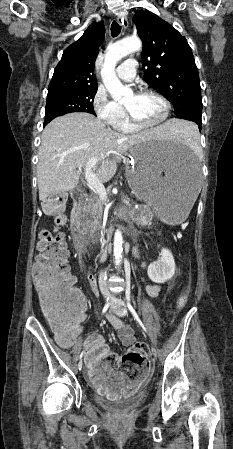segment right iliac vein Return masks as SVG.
<instances>
[{
  "instance_id": "63e3f726",
  "label": "right iliac vein",
  "mask_w": 233,
  "mask_h": 449,
  "mask_svg": "<svg viewBox=\"0 0 233 449\" xmlns=\"http://www.w3.org/2000/svg\"><path fill=\"white\" fill-rule=\"evenodd\" d=\"M82 367H83V362H82V361H79V363H78V369L81 370Z\"/></svg>"
}]
</instances>
